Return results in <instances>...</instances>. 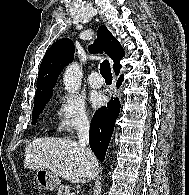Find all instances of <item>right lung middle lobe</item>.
I'll use <instances>...</instances> for the list:
<instances>
[{
	"instance_id": "obj_1",
	"label": "right lung middle lobe",
	"mask_w": 189,
	"mask_h": 195,
	"mask_svg": "<svg viewBox=\"0 0 189 195\" xmlns=\"http://www.w3.org/2000/svg\"><path fill=\"white\" fill-rule=\"evenodd\" d=\"M49 99H50V97L34 103V108H33V112H32V123H31L32 125L36 124L40 113L42 112L43 108L45 107V105L49 101Z\"/></svg>"
}]
</instances>
